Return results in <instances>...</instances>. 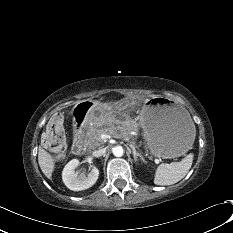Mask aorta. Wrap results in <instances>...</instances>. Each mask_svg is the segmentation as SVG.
Returning a JSON list of instances; mask_svg holds the SVG:
<instances>
[{
	"label": "aorta",
	"mask_w": 233,
	"mask_h": 233,
	"mask_svg": "<svg viewBox=\"0 0 233 233\" xmlns=\"http://www.w3.org/2000/svg\"><path fill=\"white\" fill-rule=\"evenodd\" d=\"M113 155L116 157H121L124 153V149L122 146H116L112 149Z\"/></svg>",
	"instance_id": "obj_1"
}]
</instances>
